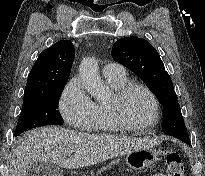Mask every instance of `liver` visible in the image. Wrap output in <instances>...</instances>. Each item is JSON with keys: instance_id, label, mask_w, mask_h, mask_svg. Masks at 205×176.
<instances>
[{"instance_id": "6515ba94", "label": "liver", "mask_w": 205, "mask_h": 176, "mask_svg": "<svg viewBox=\"0 0 205 176\" xmlns=\"http://www.w3.org/2000/svg\"><path fill=\"white\" fill-rule=\"evenodd\" d=\"M159 143L157 139L94 135L66 128L44 127L29 131L19 140L10 162V176H27L28 168L36 162L78 169ZM65 152H71L72 156L65 159Z\"/></svg>"}]
</instances>
